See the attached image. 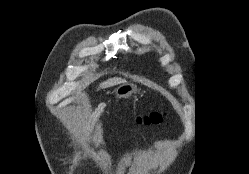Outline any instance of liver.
I'll use <instances>...</instances> for the list:
<instances>
[{
	"label": "liver",
	"instance_id": "6515ba94",
	"mask_svg": "<svg viewBox=\"0 0 249 174\" xmlns=\"http://www.w3.org/2000/svg\"><path fill=\"white\" fill-rule=\"evenodd\" d=\"M125 82L126 81L124 79L115 77V78L108 79V80L102 82L99 85V88L104 89V88L112 87V86H115V85H118V84H122V83H125Z\"/></svg>",
	"mask_w": 249,
	"mask_h": 174
}]
</instances>
